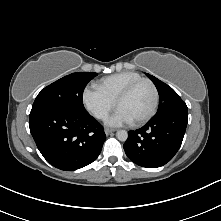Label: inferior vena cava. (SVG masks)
Returning a JSON list of instances; mask_svg holds the SVG:
<instances>
[{
    "label": "inferior vena cava",
    "instance_id": "602c4592",
    "mask_svg": "<svg viewBox=\"0 0 221 221\" xmlns=\"http://www.w3.org/2000/svg\"><path fill=\"white\" fill-rule=\"evenodd\" d=\"M107 116V112H99L98 114H97V118H105Z\"/></svg>",
    "mask_w": 221,
    "mask_h": 221
}]
</instances>
